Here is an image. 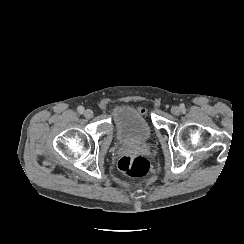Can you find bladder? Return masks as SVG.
I'll return each mask as SVG.
<instances>
[{"label": "bladder", "instance_id": "bladder-1", "mask_svg": "<svg viewBox=\"0 0 244 244\" xmlns=\"http://www.w3.org/2000/svg\"><path fill=\"white\" fill-rule=\"evenodd\" d=\"M113 125L115 138L122 144H141L152 134L145 116L130 106H119L114 110Z\"/></svg>", "mask_w": 244, "mask_h": 244}]
</instances>
